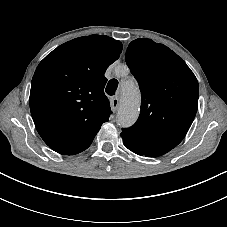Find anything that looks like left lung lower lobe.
Instances as JSON below:
<instances>
[{
	"label": "left lung lower lobe",
	"mask_w": 227,
	"mask_h": 227,
	"mask_svg": "<svg viewBox=\"0 0 227 227\" xmlns=\"http://www.w3.org/2000/svg\"><path fill=\"white\" fill-rule=\"evenodd\" d=\"M131 150V149H130ZM133 151L134 153L138 154V155H145L147 157H156L155 154L153 153H150V152H144V151H138V150H131Z\"/></svg>",
	"instance_id": "left-lung-lower-lobe-1"
}]
</instances>
